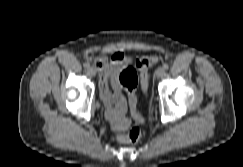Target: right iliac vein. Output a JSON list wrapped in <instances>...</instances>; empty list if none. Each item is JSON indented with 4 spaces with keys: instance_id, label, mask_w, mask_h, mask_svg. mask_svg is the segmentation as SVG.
<instances>
[{
    "instance_id": "63e3f726",
    "label": "right iliac vein",
    "mask_w": 243,
    "mask_h": 167,
    "mask_svg": "<svg viewBox=\"0 0 243 167\" xmlns=\"http://www.w3.org/2000/svg\"><path fill=\"white\" fill-rule=\"evenodd\" d=\"M87 71H88V74L91 75V76H95L96 75V71H95V69L93 67H89L87 69Z\"/></svg>"
}]
</instances>
